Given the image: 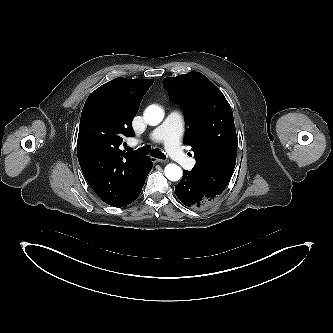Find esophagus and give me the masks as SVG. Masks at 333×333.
Listing matches in <instances>:
<instances>
[{"instance_id":"esophagus-1","label":"esophagus","mask_w":333,"mask_h":333,"mask_svg":"<svg viewBox=\"0 0 333 333\" xmlns=\"http://www.w3.org/2000/svg\"><path fill=\"white\" fill-rule=\"evenodd\" d=\"M150 160H151V162L152 163H164V162H166L165 160H163V159H159V158H156V157H150Z\"/></svg>"}]
</instances>
